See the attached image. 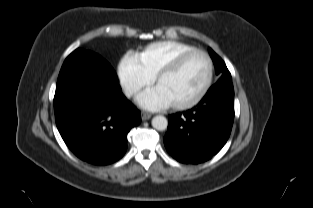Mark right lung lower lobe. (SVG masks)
<instances>
[{
	"mask_svg": "<svg viewBox=\"0 0 313 208\" xmlns=\"http://www.w3.org/2000/svg\"><path fill=\"white\" fill-rule=\"evenodd\" d=\"M54 110L57 128L69 149L96 165L119 160L127 149L128 132L141 122L109 63L82 49L71 53L61 68Z\"/></svg>",
	"mask_w": 313,
	"mask_h": 208,
	"instance_id": "obj_1",
	"label": "right lung lower lobe"
}]
</instances>
